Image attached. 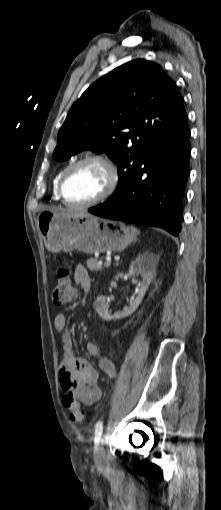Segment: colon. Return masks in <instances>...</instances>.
<instances>
[{
    "mask_svg": "<svg viewBox=\"0 0 221 510\" xmlns=\"http://www.w3.org/2000/svg\"><path fill=\"white\" fill-rule=\"evenodd\" d=\"M77 296L73 285L70 271L66 267L59 268L56 273V279L53 290V302L56 306H63L74 300ZM63 405L70 412V417L74 421H82L84 418L80 403L70 395L63 398Z\"/></svg>",
    "mask_w": 221,
    "mask_h": 510,
    "instance_id": "obj_1",
    "label": "colon"
}]
</instances>
